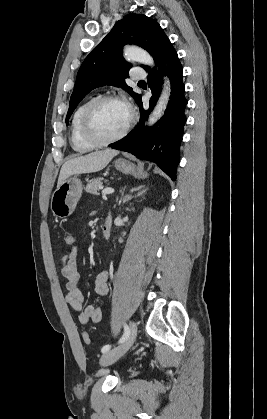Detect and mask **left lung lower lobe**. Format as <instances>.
Returning a JSON list of instances; mask_svg holds the SVG:
<instances>
[{"instance_id":"1","label":"left lung lower lobe","mask_w":267,"mask_h":419,"mask_svg":"<svg viewBox=\"0 0 267 419\" xmlns=\"http://www.w3.org/2000/svg\"><path fill=\"white\" fill-rule=\"evenodd\" d=\"M156 64L161 67L159 71L148 70L147 81L152 92L149 109H144L140 97L136 101L140 109L139 124L111 148L129 152L141 160L155 162L172 180H176L179 148L186 123L184 112L187 100L184 95L185 85L182 81L183 68L170 41ZM163 73L170 77L172 86L169 104L163 117L153 127H143L145 119L160 96Z\"/></svg>"}]
</instances>
